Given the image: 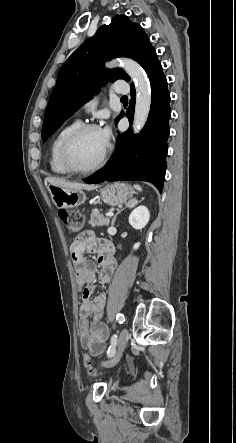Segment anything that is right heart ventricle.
I'll return each instance as SVG.
<instances>
[{"mask_svg":"<svg viewBox=\"0 0 236 443\" xmlns=\"http://www.w3.org/2000/svg\"><path fill=\"white\" fill-rule=\"evenodd\" d=\"M79 125L80 123L77 120L67 124L59 130L52 140L49 154V165L51 170L56 174L66 175L70 173L61 163L60 148L65 138Z\"/></svg>","mask_w":236,"mask_h":443,"instance_id":"right-heart-ventricle-1","label":"right heart ventricle"}]
</instances>
